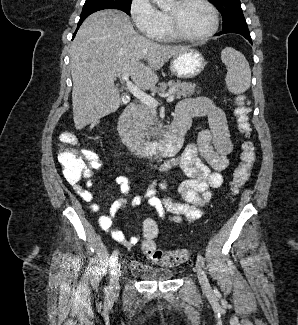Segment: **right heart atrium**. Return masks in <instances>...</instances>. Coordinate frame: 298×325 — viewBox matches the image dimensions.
<instances>
[{
    "mask_svg": "<svg viewBox=\"0 0 298 325\" xmlns=\"http://www.w3.org/2000/svg\"><path fill=\"white\" fill-rule=\"evenodd\" d=\"M130 14L137 30L142 31L141 37H146V41H165L162 30L164 21L151 0H133Z\"/></svg>",
    "mask_w": 298,
    "mask_h": 325,
    "instance_id": "d8ad5b80",
    "label": "right heart atrium"
}]
</instances>
